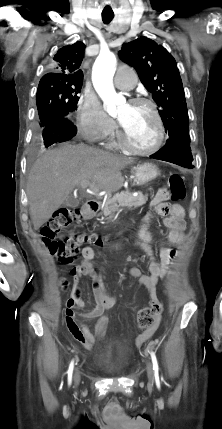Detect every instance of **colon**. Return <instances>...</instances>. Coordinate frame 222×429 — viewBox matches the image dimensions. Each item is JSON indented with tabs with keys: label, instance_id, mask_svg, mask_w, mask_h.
I'll use <instances>...</instances> for the list:
<instances>
[{
	"label": "colon",
	"instance_id": "colon-1",
	"mask_svg": "<svg viewBox=\"0 0 222 429\" xmlns=\"http://www.w3.org/2000/svg\"><path fill=\"white\" fill-rule=\"evenodd\" d=\"M165 199L173 201L183 200L186 190L183 179L178 174H171L168 177V185L161 190ZM81 216L79 210L60 209L42 228L41 234L44 244L50 253L63 264H70L79 255L83 244H93L96 246L103 244V239L95 234L73 235L57 239V236L69 225L78 220ZM163 312V304L157 300H150L148 306L142 308L137 317L138 327L147 330L157 324Z\"/></svg>",
	"mask_w": 222,
	"mask_h": 429
}]
</instances>
